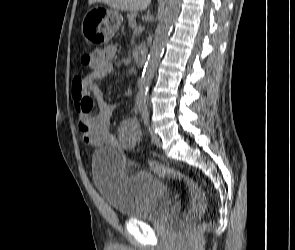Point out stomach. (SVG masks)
Wrapping results in <instances>:
<instances>
[{"label":"stomach","mask_w":295,"mask_h":250,"mask_svg":"<svg viewBox=\"0 0 295 250\" xmlns=\"http://www.w3.org/2000/svg\"><path fill=\"white\" fill-rule=\"evenodd\" d=\"M123 22L122 15L115 9L91 8L82 21V33L90 45H107Z\"/></svg>","instance_id":"1"}]
</instances>
